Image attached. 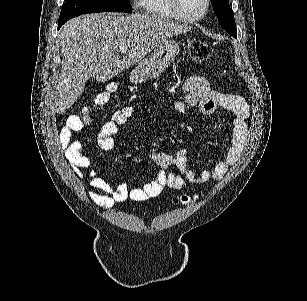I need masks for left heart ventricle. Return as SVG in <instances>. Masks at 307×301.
Instances as JSON below:
<instances>
[{"instance_id":"1","label":"left heart ventricle","mask_w":307,"mask_h":301,"mask_svg":"<svg viewBox=\"0 0 307 301\" xmlns=\"http://www.w3.org/2000/svg\"><path fill=\"white\" fill-rule=\"evenodd\" d=\"M199 2H201V0L178 1V13H185L186 15H188L189 11H200Z\"/></svg>"}]
</instances>
